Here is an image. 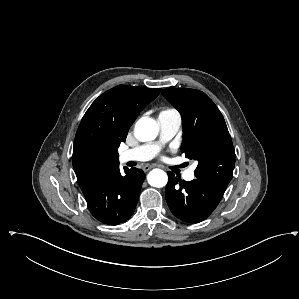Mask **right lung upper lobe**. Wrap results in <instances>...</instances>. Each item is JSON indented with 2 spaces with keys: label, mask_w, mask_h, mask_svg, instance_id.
Listing matches in <instances>:
<instances>
[{
  "label": "right lung upper lobe",
  "mask_w": 299,
  "mask_h": 299,
  "mask_svg": "<svg viewBox=\"0 0 299 299\" xmlns=\"http://www.w3.org/2000/svg\"><path fill=\"white\" fill-rule=\"evenodd\" d=\"M160 88L118 86L100 95L83 116L77 130L72 163L82 192L100 175L119 166L118 147L130 126Z\"/></svg>",
  "instance_id": "obj_1"
}]
</instances>
